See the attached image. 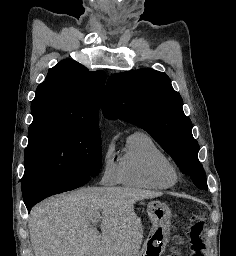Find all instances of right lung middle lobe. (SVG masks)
Masks as SVG:
<instances>
[{
    "instance_id": "right-lung-middle-lobe-1",
    "label": "right lung middle lobe",
    "mask_w": 236,
    "mask_h": 256,
    "mask_svg": "<svg viewBox=\"0 0 236 256\" xmlns=\"http://www.w3.org/2000/svg\"><path fill=\"white\" fill-rule=\"evenodd\" d=\"M23 197L50 185L99 174L101 136L75 124H31L25 149Z\"/></svg>"
}]
</instances>
